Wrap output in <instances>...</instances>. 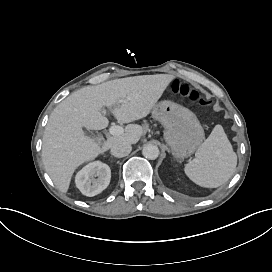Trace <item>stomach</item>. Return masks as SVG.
<instances>
[{"instance_id": "obj_1", "label": "stomach", "mask_w": 272, "mask_h": 272, "mask_svg": "<svg viewBox=\"0 0 272 272\" xmlns=\"http://www.w3.org/2000/svg\"><path fill=\"white\" fill-rule=\"evenodd\" d=\"M153 117L162 123L164 140L177 160L191 156L205 139L196 115L183 106L168 101L160 102L154 106Z\"/></svg>"}]
</instances>
